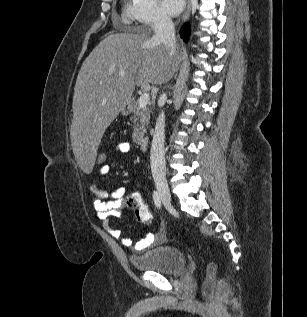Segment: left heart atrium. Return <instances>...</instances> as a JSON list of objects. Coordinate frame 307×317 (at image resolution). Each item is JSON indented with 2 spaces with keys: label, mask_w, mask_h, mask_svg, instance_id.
Listing matches in <instances>:
<instances>
[{
  "label": "left heart atrium",
  "mask_w": 307,
  "mask_h": 317,
  "mask_svg": "<svg viewBox=\"0 0 307 317\" xmlns=\"http://www.w3.org/2000/svg\"><path fill=\"white\" fill-rule=\"evenodd\" d=\"M185 0H160L162 10L170 16L179 14L184 7Z\"/></svg>",
  "instance_id": "1"
}]
</instances>
